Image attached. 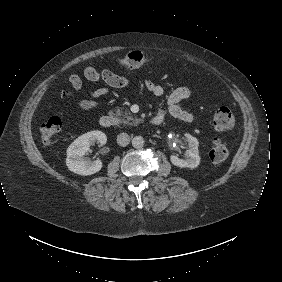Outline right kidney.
<instances>
[{
  "mask_svg": "<svg viewBox=\"0 0 282 282\" xmlns=\"http://www.w3.org/2000/svg\"><path fill=\"white\" fill-rule=\"evenodd\" d=\"M106 143V135L101 131L87 132L76 138L67 148L65 160L69 171L80 176H90L98 173L103 168L101 160H84V154L90 149L94 142Z\"/></svg>",
  "mask_w": 282,
  "mask_h": 282,
  "instance_id": "obj_1",
  "label": "right kidney"
}]
</instances>
